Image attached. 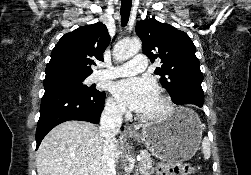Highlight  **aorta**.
Here are the masks:
<instances>
[{"mask_svg": "<svg viewBox=\"0 0 251 175\" xmlns=\"http://www.w3.org/2000/svg\"><path fill=\"white\" fill-rule=\"evenodd\" d=\"M142 48L141 40L133 38V40H125V42H118L113 48L114 60L117 62H125L128 58H133L138 54Z\"/></svg>", "mask_w": 251, "mask_h": 175, "instance_id": "762f6f07", "label": "aorta"}]
</instances>
